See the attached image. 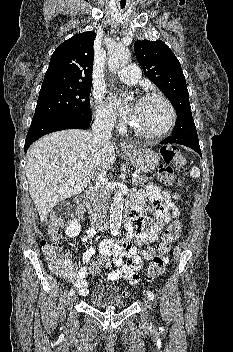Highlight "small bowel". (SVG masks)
I'll use <instances>...</instances> for the list:
<instances>
[{"instance_id": "small-bowel-1", "label": "small bowel", "mask_w": 233, "mask_h": 352, "mask_svg": "<svg viewBox=\"0 0 233 352\" xmlns=\"http://www.w3.org/2000/svg\"><path fill=\"white\" fill-rule=\"evenodd\" d=\"M146 194L153 205L156 216L153 225L146 226L142 214L144 194L139 193L134 200L137 203V209L132 217L125 222L126 233L122 240L105 239L99 245V253L111 257L116 266V269L107 275L109 281L124 279L132 285L136 284L140 279V271L144 262L151 260L155 255L153 243L159 238L163 227L179 215V210L173 203L168 191H162L156 185L151 184L147 187ZM93 235L94 231L88 229L82 238V243L86 244ZM95 254V248L86 249L81 259L82 267H78L79 261L77 259L70 256L66 258L72 270L62 277L66 278L76 288L80 296L89 294L86 266Z\"/></svg>"}]
</instances>
